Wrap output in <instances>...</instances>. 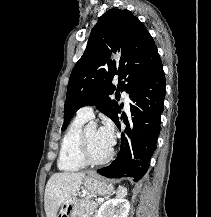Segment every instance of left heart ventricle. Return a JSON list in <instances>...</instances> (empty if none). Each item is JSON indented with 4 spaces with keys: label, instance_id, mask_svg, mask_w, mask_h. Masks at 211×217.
<instances>
[{
    "label": "left heart ventricle",
    "instance_id": "b2bd125f",
    "mask_svg": "<svg viewBox=\"0 0 211 217\" xmlns=\"http://www.w3.org/2000/svg\"><path fill=\"white\" fill-rule=\"evenodd\" d=\"M87 140L90 154L94 158H103L111 149V147L102 140L98 130L94 127L87 129Z\"/></svg>",
    "mask_w": 211,
    "mask_h": 217
}]
</instances>
